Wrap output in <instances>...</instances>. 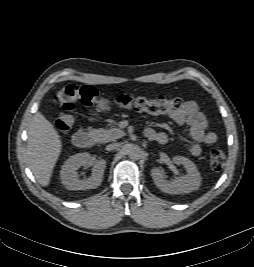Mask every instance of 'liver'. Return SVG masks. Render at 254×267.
Here are the masks:
<instances>
[{
	"instance_id": "liver-1",
	"label": "liver",
	"mask_w": 254,
	"mask_h": 267,
	"mask_svg": "<svg viewBox=\"0 0 254 267\" xmlns=\"http://www.w3.org/2000/svg\"><path fill=\"white\" fill-rule=\"evenodd\" d=\"M62 142L54 126L41 112H36L29 126L27 162L41 186H48L60 156Z\"/></svg>"
}]
</instances>
